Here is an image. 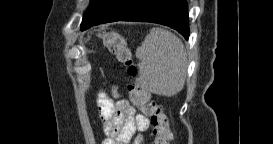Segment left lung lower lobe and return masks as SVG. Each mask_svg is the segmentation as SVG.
I'll return each instance as SVG.
<instances>
[{
    "label": "left lung lower lobe",
    "mask_w": 273,
    "mask_h": 144,
    "mask_svg": "<svg viewBox=\"0 0 273 144\" xmlns=\"http://www.w3.org/2000/svg\"><path fill=\"white\" fill-rule=\"evenodd\" d=\"M118 20L159 23L177 30L186 40L189 37L185 0H92V6L83 16L81 30Z\"/></svg>",
    "instance_id": "left-lung-lower-lobe-1"
}]
</instances>
